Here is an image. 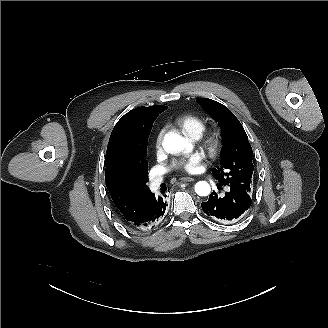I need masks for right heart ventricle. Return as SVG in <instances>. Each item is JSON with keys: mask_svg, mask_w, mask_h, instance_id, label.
Listing matches in <instances>:
<instances>
[{"mask_svg": "<svg viewBox=\"0 0 328 328\" xmlns=\"http://www.w3.org/2000/svg\"><path fill=\"white\" fill-rule=\"evenodd\" d=\"M177 126L188 138H196L205 130L208 121L199 115H187L176 120Z\"/></svg>", "mask_w": 328, "mask_h": 328, "instance_id": "e07e8e85", "label": "right heart ventricle"}]
</instances>
